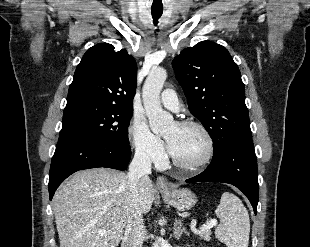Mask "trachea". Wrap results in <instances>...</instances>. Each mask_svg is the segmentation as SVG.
I'll list each match as a JSON object with an SVG mask.
<instances>
[{"mask_svg": "<svg viewBox=\"0 0 310 247\" xmlns=\"http://www.w3.org/2000/svg\"><path fill=\"white\" fill-rule=\"evenodd\" d=\"M162 13H163L162 10H152L151 11L152 18H153L155 24L158 23V19L161 17Z\"/></svg>", "mask_w": 310, "mask_h": 247, "instance_id": "3493384b", "label": "trachea"}]
</instances>
